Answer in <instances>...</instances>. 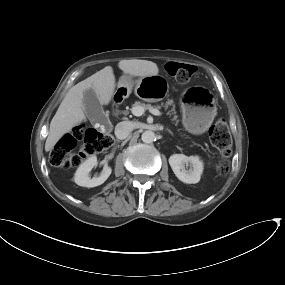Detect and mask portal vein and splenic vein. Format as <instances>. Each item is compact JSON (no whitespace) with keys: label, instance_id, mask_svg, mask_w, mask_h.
Masks as SVG:
<instances>
[{"label":"portal vein and splenic vein","instance_id":"1","mask_svg":"<svg viewBox=\"0 0 285 285\" xmlns=\"http://www.w3.org/2000/svg\"><path fill=\"white\" fill-rule=\"evenodd\" d=\"M131 111H132V114L134 116L139 117V116H142L144 114L145 109L141 106H135L131 109ZM149 111H150V113H152L155 116L161 115V112L158 109L152 108Z\"/></svg>","mask_w":285,"mask_h":285}]
</instances>
